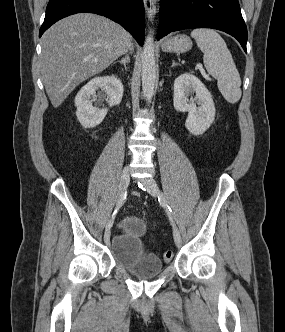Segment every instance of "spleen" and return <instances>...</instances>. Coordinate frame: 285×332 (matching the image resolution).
<instances>
[{
    "mask_svg": "<svg viewBox=\"0 0 285 332\" xmlns=\"http://www.w3.org/2000/svg\"><path fill=\"white\" fill-rule=\"evenodd\" d=\"M197 46L204 53L207 72L217 79L218 89L231 104L242 95L241 78L224 39L213 29L198 28L191 32Z\"/></svg>",
    "mask_w": 285,
    "mask_h": 332,
    "instance_id": "spleen-1",
    "label": "spleen"
}]
</instances>
